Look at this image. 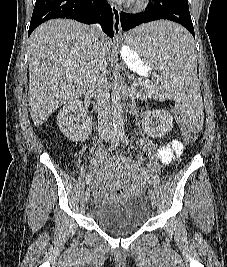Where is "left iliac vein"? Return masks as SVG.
Returning a JSON list of instances; mask_svg holds the SVG:
<instances>
[{
	"mask_svg": "<svg viewBox=\"0 0 227 267\" xmlns=\"http://www.w3.org/2000/svg\"><path fill=\"white\" fill-rule=\"evenodd\" d=\"M148 194H149V198L151 200V205H152L153 208H155L157 206L155 193L153 192V190L150 189Z\"/></svg>",
	"mask_w": 227,
	"mask_h": 267,
	"instance_id": "left-iliac-vein-1",
	"label": "left iliac vein"
}]
</instances>
